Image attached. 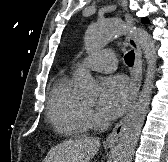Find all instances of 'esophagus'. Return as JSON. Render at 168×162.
<instances>
[{
  "instance_id": "1",
  "label": "esophagus",
  "mask_w": 168,
  "mask_h": 162,
  "mask_svg": "<svg viewBox=\"0 0 168 162\" xmlns=\"http://www.w3.org/2000/svg\"><path fill=\"white\" fill-rule=\"evenodd\" d=\"M126 21L128 24H132L133 20L130 17V15H125ZM128 42L131 46V48L135 52V63H134V71H133V80H134V99L132 102V105L127 112V114L116 124L112 132L109 134V136L106 139V144L108 145H114L118 142L120 139L124 127L126 125V122L131 114V111L136 103V100L139 95L140 87H141V81H142V51L138 42L137 37L133 33H129L128 35Z\"/></svg>"
}]
</instances>
